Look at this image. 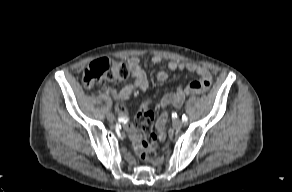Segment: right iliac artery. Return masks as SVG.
I'll use <instances>...</instances> for the list:
<instances>
[{"mask_svg": "<svg viewBox=\"0 0 292 192\" xmlns=\"http://www.w3.org/2000/svg\"><path fill=\"white\" fill-rule=\"evenodd\" d=\"M132 116H135V112H132ZM131 115H127L126 117L125 116H118L116 118V121L118 123H122V124H125L126 122H131V121H134V118L132 117Z\"/></svg>", "mask_w": 292, "mask_h": 192, "instance_id": "1", "label": "right iliac artery"}]
</instances>
